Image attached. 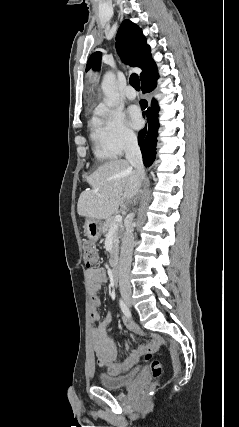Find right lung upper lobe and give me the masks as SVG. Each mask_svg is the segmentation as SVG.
<instances>
[{
  "instance_id": "right-lung-upper-lobe-1",
  "label": "right lung upper lobe",
  "mask_w": 239,
  "mask_h": 427,
  "mask_svg": "<svg viewBox=\"0 0 239 427\" xmlns=\"http://www.w3.org/2000/svg\"><path fill=\"white\" fill-rule=\"evenodd\" d=\"M116 49L123 62L139 67L143 71L140 74L141 81L157 74V68L151 57V49L146 43L142 30L129 20H124L116 36ZM101 53H93L87 63L86 70L100 66Z\"/></svg>"
}]
</instances>
